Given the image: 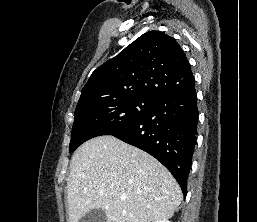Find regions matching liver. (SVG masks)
I'll use <instances>...</instances> for the list:
<instances>
[{
    "label": "liver",
    "instance_id": "obj_1",
    "mask_svg": "<svg viewBox=\"0 0 257 222\" xmlns=\"http://www.w3.org/2000/svg\"><path fill=\"white\" fill-rule=\"evenodd\" d=\"M67 200L68 222H78L94 209L104 210L107 222H155L173 216L182 192L154 157L105 135L85 142L73 154Z\"/></svg>",
    "mask_w": 257,
    "mask_h": 222
}]
</instances>
